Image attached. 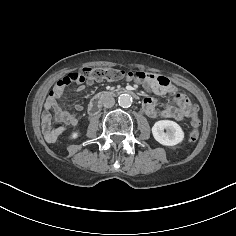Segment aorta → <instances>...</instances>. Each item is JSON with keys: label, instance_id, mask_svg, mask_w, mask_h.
<instances>
[{"label": "aorta", "instance_id": "aorta-1", "mask_svg": "<svg viewBox=\"0 0 236 236\" xmlns=\"http://www.w3.org/2000/svg\"><path fill=\"white\" fill-rule=\"evenodd\" d=\"M118 104L123 108L130 107L132 104V97L129 94H121L118 97Z\"/></svg>", "mask_w": 236, "mask_h": 236}]
</instances>
